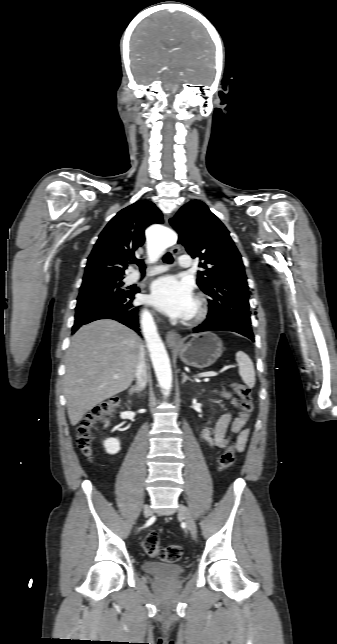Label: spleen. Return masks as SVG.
<instances>
[{
  "mask_svg": "<svg viewBox=\"0 0 337 644\" xmlns=\"http://www.w3.org/2000/svg\"><path fill=\"white\" fill-rule=\"evenodd\" d=\"M236 361L239 366V374L242 381L249 387L255 386V370L252 360L242 351L236 353Z\"/></svg>",
  "mask_w": 337,
  "mask_h": 644,
  "instance_id": "spleen-1",
  "label": "spleen"
}]
</instances>
